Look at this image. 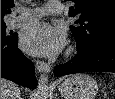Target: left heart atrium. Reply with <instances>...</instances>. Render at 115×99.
Returning <instances> with one entry per match:
<instances>
[{
  "label": "left heart atrium",
  "instance_id": "obj_1",
  "mask_svg": "<svg viewBox=\"0 0 115 99\" xmlns=\"http://www.w3.org/2000/svg\"><path fill=\"white\" fill-rule=\"evenodd\" d=\"M64 42L63 30L46 22L28 26L21 36V47L34 55H56Z\"/></svg>",
  "mask_w": 115,
  "mask_h": 99
}]
</instances>
